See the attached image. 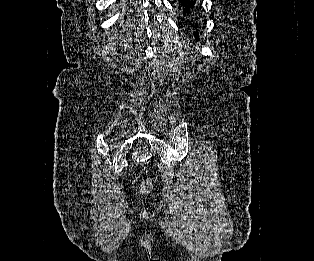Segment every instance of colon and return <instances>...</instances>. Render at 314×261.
<instances>
[{
  "mask_svg": "<svg viewBox=\"0 0 314 261\" xmlns=\"http://www.w3.org/2000/svg\"><path fill=\"white\" fill-rule=\"evenodd\" d=\"M152 183L150 181H144L141 187L143 194H149L152 191Z\"/></svg>",
  "mask_w": 314,
  "mask_h": 261,
  "instance_id": "5ec220e1",
  "label": "colon"
}]
</instances>
